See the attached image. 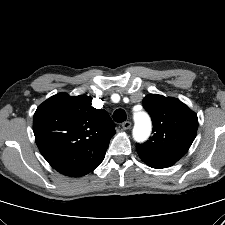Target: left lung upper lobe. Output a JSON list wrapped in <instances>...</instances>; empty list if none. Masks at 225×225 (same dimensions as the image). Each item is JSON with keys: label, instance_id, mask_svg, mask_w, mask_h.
<instances>
[{"label": "left lung upper lobe", "instance_id": "5c2ea615", "mask_svg": "<svg viewBox=\"0 0 225 225\" xmlns=\"http://www.w3.org/2000/svg\"><path fill=\"white\" fill-rule=\"evenodd\" d=\"M143 106L152 118L153 136L144 144H137V152L152 168L172 166L195 139L197 115L180 100L157 94L147 95Z\"/></svg>", "mask_w": 225, "mask_h": 225}]
</instances>
